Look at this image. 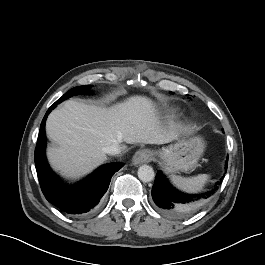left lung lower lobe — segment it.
I'll use <instances>...</instances> for the list:
<instances>
[{
	"instance_id": "left-lung-lower-lobe-1",
	"label": "left lung lower lobe",
	"mask_w": 265,
	"mask_h": 265,
	"mask_svg": "<svg viewBox=\"0 0 265 265\" xmlns=\"http://www.w3.org/2000/svg\"><path fill=\"white\" fill-rule=\"evenodd\" d=\"M225 169H227V163ZM217 185L206 193L185 194L176 190L162 172L158 171L152 188V198L158 210L164 215L172 218H183L200 210L216 192Z\"/></svg>"
}]
</instances>
